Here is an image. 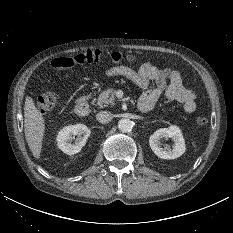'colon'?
Here are the masks:
<instances>
[{"mask_svg": "<svg viewBox=\"0 0 233 233\" xmlns=\"http://www.w3.org/2000/svg\"><path fill=\"white\" fill-rule=\"evenodd\" d=\"M108 58L113 62H120L124 59L121 53L112 52L108 55ZM127 60L133 61L135 57L127 56ZM103 60V56L99 51H84L71 56L58 57L52 60L51 65L55 69L64 70L71 68L75 65H82L86 63H97ZM58 102V96L54 92L42 93L37 98V106L41 112H48L52 110ZM197 124L204 127L208 124V119L204 116H200L196 120Z\"/></svg>", "mask_w": 233, "mask_h": 233, "instance_id": "1", "label": "colon"}]
</instances>
